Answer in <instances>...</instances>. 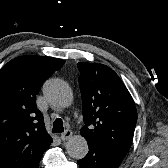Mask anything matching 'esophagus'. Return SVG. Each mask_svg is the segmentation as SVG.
<instances>
[{"label": "esophagus", "instance_id": "34e87169", "mask_svg": "<svg viewBox=\"0 0 168 168\" xmlns=\"http://www.w3.org/2000/svg\"><path fill=\"white\" fill-rule=\"evenodd\" d=\"M72 131L71 130H66L65 132H63L61 134V139L62 141H67L68 139H70L72 137Z\"/></svg>", "mask_w": 168, "mask_h": 168}]
</instances>
